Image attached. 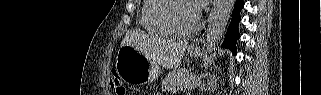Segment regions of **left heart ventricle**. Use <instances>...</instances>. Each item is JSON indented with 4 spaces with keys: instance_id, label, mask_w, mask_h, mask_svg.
Instances as JSON below:
<instances>
[{
    "instance_id": "1",
    "label": "left heart ventricle",
    "mask_w": 321,
    "mask_h": 95,
    "mask_svg": "<svg viewBox=\"0 0 321 95\" xmlns=\"http://www.w3.org/2000/svg\"><path fill=\"white\" fill-rule=\"evenodd\" d=\"M168 15L172 24L181 30L192 28L196 21V13L193 8L183 2L173 4Z\"/></svg>"
}]
</instances>
